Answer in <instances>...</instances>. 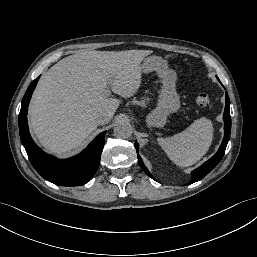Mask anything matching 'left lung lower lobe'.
<instances>
[{"mask_svg": "<svg viewBox=\"0 0 257 257\" xmlns=\"http://www.w3.org/2000/svg\"><path fill=\"white\" fill-rule=\"evenodd\" d=\"M226 99V104H225V111H224V115H223V119H224V138L223 141L221 143L220 148L218 149L217 153L210 158L208 161H206L202 166H200L199 168L195 169L194 171H192V179L188 184H192L194 182H197L199 180H201L202 178H204L222 159L224 153H225V149L227 146V143L229 141L230 138V132H231V117H230V112H229V107H230V100L228 97V94L226 93L225 96ZM135 147H136V151L138 153V143H135ZM138 162L140 164V166L143 168V170L151 177L152 175L150 174V172L146 169V167L144 166L141 157L138 154Z\"/></svg>", "mask_w": 257, "mask_h": 257, "instance_id": "0a47b994", "label": "left lung lower lobe"}]
</instances>
